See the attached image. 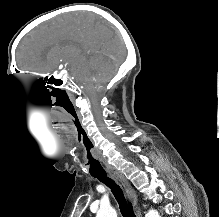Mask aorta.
Segmentation results:
<instances>
[{"label":"aorta","mask_w":219,"mask_h":217,"mask_svg":"<svg viewBox=\"0 0 219 217\" xmlns=\"http://www.w3.org/2000/svg\"><path fill=\"white\" fill-rule=\"evenodd\" d=\"M96 217H117L116 211L111 207L100 208ZM146 217H160L156 210H150L146 214Z\"/></svg>","instance_id":"762f6f07"}]
</instances>
